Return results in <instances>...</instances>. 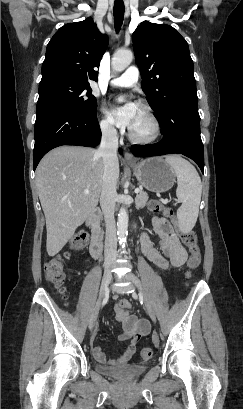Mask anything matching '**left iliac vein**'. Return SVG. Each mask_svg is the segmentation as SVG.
<instances>
[{"mask_svg": "<svg viewBox=\"0 0 243 409\" xmlns=\"http://www.w3.org/2000/svg\"><path fill=\"white\" fill-rule=\"evenodd\" d=\"M126 280L138 287L139 295L144 302V306H145L147 313L149 314L150 318L153 321H156L155 312L153 310V307L151 303L149 302L148 298L146 297L144 290L141 288L139 279L133 273L129 272L126 274ZM154 342H156L155 339H154Z\"/></svg>", "mask_w": 243, "mask_h": 409, "instance_id": "4c4485c4", "label": "left iliac vein"}]
</instances>
